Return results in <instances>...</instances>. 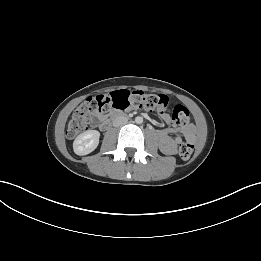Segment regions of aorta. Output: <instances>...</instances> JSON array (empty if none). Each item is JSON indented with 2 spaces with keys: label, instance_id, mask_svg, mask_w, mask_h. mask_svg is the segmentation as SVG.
<instances>
[{
  "label": "aorta",
  "instance_id": "762f6f07",
  "mask_svg": "<svg viewBox=\"0 0 261 261\" xmlns=\"http://www.w3.org/2000/svg\"><path fill=\"white\" fill-rule=\"evenodd\" d=\"M135 122H136L137 124H141V123L143 122V118L140 117V116H138V117L135 118Z\"/></svg>",
  "mask_w": 261,
  "mask_h": 261
}]
</instances>
